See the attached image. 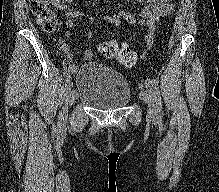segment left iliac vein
<instances>
[{"label": "left iliac vein", "mask_w": 219, "mask_h": 192, "mask_svg": "<svg viewBox=\"0 0 219 192\" xmlns=\"http://www.w3.org/2000/svg\"><path fill=\"white\" fill-rule=\"evenodd\" d=\"M140 98L144 100L148 105V116L150 118H154L157 115V107H156V100L152 92L142 90L140 92Z\"/></svg>", "instance_id": "obj_1"}]
</instances>
